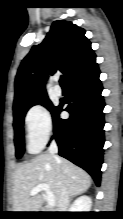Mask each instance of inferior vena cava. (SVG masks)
<instances>
[{
  "instance_id": "602c4592",
  "label": "inferior vena cava",
  "mask_w": 123,
  "mask_h": 219,
  "mask_svg": "<svg viewBox=\"0 0 123 219\" xmlns=\"http://www.w3.org/2000/svg\"><path fill=\"white\" fill-rule=\"evenodd\" d=\"M48 151L49 154L57 157L56 154L58 153V146L54 140L51 142ZM69 203H70L69 192L67 190V187L64 184H62L61 194L58 202V212H67Z\"/></svg>"
}]
</instances>
